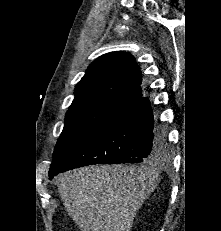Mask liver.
<instances>
[{"instance_id": "1", "label": "liver", "mask_w": 221, "mask_h": 231, "mask_svg": "<svg viewBox=\"0 0 221 231\" xmlns=\"http://www.w3.org/2000/svg\"><path fill=\"white\" fill-rule=\"evenodd\" d=\"M158 177L147 166L94 165L63 173L56 183L66 211L82 231H130Z\"/></svg>"}]
</instances>
